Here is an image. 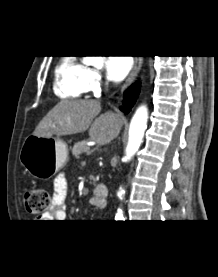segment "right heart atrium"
Segmentation results:
<instances>
[{
	"label": "right heart atrium",
	"instance_id": "1",
	"mask_svg": "<svg viewBox=\"0 0 218 277\" xmlns=\"http://www.w3.org/2000/svg\"><path fill=\"white\" fill-rule=\"evenodd\" d=\"M103 77L97 69L87 68L85 83L87 90H95L102 84Z\"/></svg>",
	"mask_w": 218,
	"mask_h": 277
}]
</instances>
